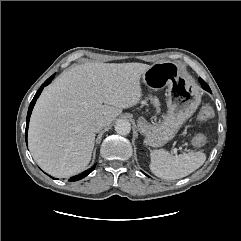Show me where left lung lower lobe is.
I'll list each match as a JSON object with an SVG mask.
<instances>
[{
    "label": "left lung lower lobe",
    "instance_id": "obj_1",
    "mask_svg": "<svg viewBox=\"0 0 241 241\" xmlns=\"http://www.w3.org/2000/svg\"><path fill=\"white\" fill-rule=\"evenodd\" d=\"M199 81H200L202 87H203L205 90L211 92V90H210V88H209V86L207 85L206 82H204L201 78H199Z\"/></svg>",
    "mask_w": 241,
    "mask_h": 241
}]
</instances>
